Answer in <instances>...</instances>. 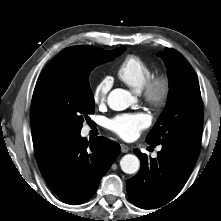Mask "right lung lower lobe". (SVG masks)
Wrapping results in <instances>:
<instances>
[{"mask_svg": "<svg viewBox=\"0 0 221 221\" xmlns=\"http://www.w3.org/2000/svg\"><path fill=\"white\" fill-rule=\"evenodd\" d=\"M32 139L42 176L61 199L71 204H81L94 195L120 152L117 142L105 137L87 142L80 131H49Z\"/></svg>", "mask_w": 221, "mask_h": 221, "instance_id": "98d812e1", "label": "right lung lower lobe"}]
</instances>
